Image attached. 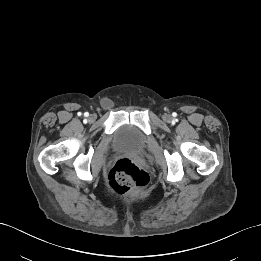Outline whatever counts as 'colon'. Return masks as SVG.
<instances>
[{
	"label": "colon",
	"instance_id": "colon-1",
	"mask_svg": "<svg viewBox=\"0 0 261 261\" xmlns=\"http://www.w3.org/2000/svg\"><path fill=\"white\" fill-rule=\"evenodd\" d=\"M111 188L119 194L140 196L144 193L149 176L129 158H120L109 172Z\"/></svg>",
	"mask_w": 261,
	"mask_h": 261
}]
</instances>
